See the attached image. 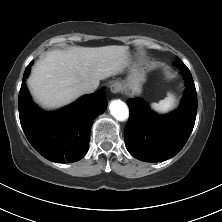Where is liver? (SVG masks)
<instances>
[{"label":"liver","instance_id":"liver-1","mask_svg":"<svg viewBox=\"0 0 222 222\" xmlns=\"http://www.w3.org/2000/svg\"><path fill=\"white\" fill-rule=\"evenodd\" d=\"M129 62L128 46L52 50L35 64L28 85L37 103L45 109H55L81 96L82 83L98 86L100 80L122 73Z\"/></svg>","mask_w":222,"mask_h":222}]
</instances>
